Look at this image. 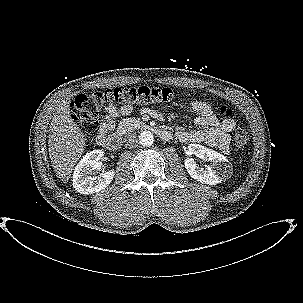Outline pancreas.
Listing matches in <instances>:
<instances>
[{
	"label": "pancreas",
	"instance_id": "1",
	"mask_svg": "<svg viewBox=\"0 0 303 303\" xmlns=\"http://www.w3.org/2000/svg\"><path fill=\"white\" fill-rule=\"evenodd\" d=\"M143 125L144 123H142L139 119L126 118L120 122L117 129V134L122 135L128 131L135 130Z\"/></svg>",
	"mask_w": 303,
	"mask_h": 303
}]
</instances>
